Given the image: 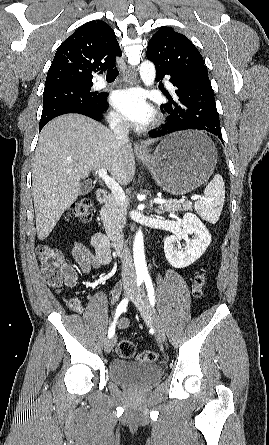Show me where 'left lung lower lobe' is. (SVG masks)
<instances>
[{
  "label": "left lung lower lobe",
  "mask_w": 269,
  "mask_h": 445,
  "mask_svg": "<svg viewBox=\"0 0 269 445\" xmlns=\"http://www.w3.org/2000/svg\"><path fill=\"white\" fill-rule=\"evenodd\" d=\"M170 75V82L177 88V101L167 95L169 103L162 108L168 119L161 130L151 134L152 138L186 129L206 130L221 140V128L215 98L208 76L176 75L156 69V81Z\"/></svg>",
  "instance_id": "left-lung-lower-lobe-1"
}]
</instances>
